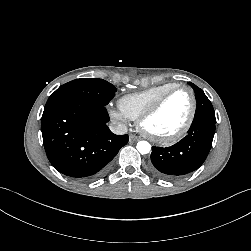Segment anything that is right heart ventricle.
Instances as JSON below:
<instances>
[{
	"label": "right heart ventricle",
	"mask_w": 251,
	"mask_h": 251,
	"mask_svg": "<svg viewBox=\"0 0 251 251\" xmlns=\"http://www.w3.org/2000/svg\"><path fill=\"white\" fill-rule=\"evenodd\" d=\"M174 86V83H165L124 95L118 101L119 109L127 118L137 120L163 93Z\"/></svg>",
	"instance_id": "right-heart-ventricle-1"
}]
</instances>
